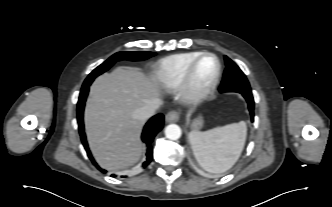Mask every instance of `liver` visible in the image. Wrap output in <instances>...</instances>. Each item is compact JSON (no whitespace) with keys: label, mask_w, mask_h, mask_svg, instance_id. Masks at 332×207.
Masks as SVG:
<instances>
[{"label":"liver","mask_w":332,"mask_h":207,"mask_svg":"<svg viewBox=\"0 0 332 207\" xmlns=\"http://www.w3.org/2000/svg\"><path fill=\"white\" fill-rule=\"evenodd\" d=\"M153 100L161 102L157 80L136 68L118 67L94 81L84 120L90 149L103 169L119 170L138 161L144 151L143 121L134 112Z\"/></svg>","instance_id":"6515ba94"}]
</instances>
